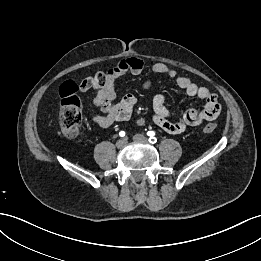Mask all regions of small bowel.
Returning a JSON list of instances; mask_svg holds the SVG:
<instances>
[{"label":"small bowel","instance_id":"obj_1","mask_svg":"<svg viewBox=\"0 0 261 261\" xmlns=\"http://www.w3.org/2000/svg\"><path fill=\"white\" fill-rule=\"evenodd\" d=\"M144 69V62L140 58L130 57L121 60L116 66L105 72L106 84L98 89L91 105V117L95 124L102 128H108L116 122L129 119L132 110L137 102L136 97L128 93L120 100L116 101L115 81L118 77L126 73L138 75ZM164 74L175 81L178 87L190 97H197L205 101L200 111L190 109L186 111L183 117L178 121L169 119L171 113L165 105V96L158 93L154 96L153 104V122L164 131L172 134H180L189 127L200 125L205 121L216 119L221 112V104L215 94L208 88L197 85L190 78L179 74L175 69L164 63H155L151 68V75ZM83 83V82H82ZM152 86V77H148L143 83L142 88L149 90ZM83 91H88L83 87ZM95 110H99L97 113Z\"/></svg>","mask_w":261,"mask_h":261}]
</instances>
